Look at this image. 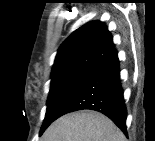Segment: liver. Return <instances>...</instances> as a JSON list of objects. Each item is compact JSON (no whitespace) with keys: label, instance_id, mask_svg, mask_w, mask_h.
<instances>
[{"label":"liver","instance_id":"obj_1","mask_svg":"<svg viewBox=\"0 0 155 141\" xmlns=\"http://www.w3.org/2000/svg\"><path fill=\"white\" fill-rule=\"evenodd\" d=\"M124 134L101 113L82 110L64 115L53 122L43 141H125Z\"/></svg>","mask_w":155,"mask_h":141}]
</instances>
